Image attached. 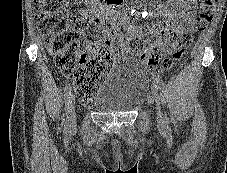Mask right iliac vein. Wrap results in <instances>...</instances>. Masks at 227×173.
<instances>
[{"instance_id":"63e3f726","label":"right iliac vein","mask_w":227,"mask_h":173,"mask_svg":"<svg viewBox=\"0 0 227 173\" xmlns=\"http://www.w3.org/2000/svg\"><path fill=\"white\" fill-rule=\"evenodd\" d=\"M69 125L73 126L76 123V112H75V100L73 94L70 96L69 100Z\"/></svg>"}]
</instances>
